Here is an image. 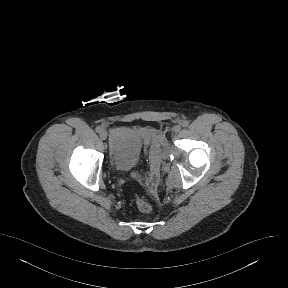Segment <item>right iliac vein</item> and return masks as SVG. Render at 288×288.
I'll use <instances>...</instances> for the list:
<instances>
[{
    "label": "right iliac vein",
    "mask_w": 288,
    "mask_h": 288,
    "mask_svg": "<svg viewBox=\"0 0 288 288\" xmlns=\"http://www.w3.org/2000/svg\"><path fill=\"white\" fill-rule=\"evenodd\" d=\"M100 138H101L102 140H106V139H107V132H106L105 130H102V131L100 132Z\"/></svg>",
    "instance_id": "obj_1"
}]
</instances>
